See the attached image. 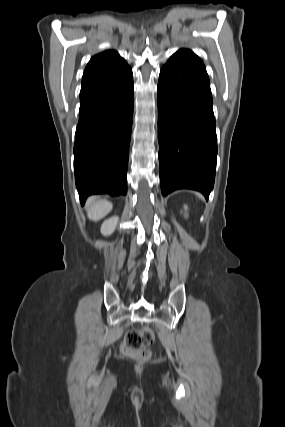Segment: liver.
Masks as SVG:
<instances>
[{
	"label": "liver",
	"mask_w": 285,
	"mask_h": 427,
	"mask_svg": "<svg viewBox=\"0 0 285 427\" xmlns=\"http://www.w3.org/2000/svg\"><path fill=\"white\" fill-rule=\"evenodd\" d=\"M112 203L107 200H100L97 198H90L86 207L88 218L93 221H98L104 218L111 210Z\"/></svg>",
	"instance_id": "obj_1"
}]
</instances>
